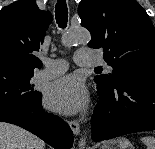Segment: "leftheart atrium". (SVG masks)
Wrapping results in <instances>:
<instances>
[{"label": "left heart atrium", "instance_id": "39dd6f15", "mask_svg": "<svg viewBox=\"0 0 155 149\" xmlns=\"http://www.w3.org/2000/svg\"><path fill=\"white\" fill-rule=\"evenodd\" d=\"M45 102L48 108L55 112L73 114L86 105L87 92L81 79L70 74L48 86Z\"/></svg>", "mask_w": 155, "mask_h": 149}]
</instances>
